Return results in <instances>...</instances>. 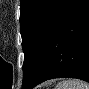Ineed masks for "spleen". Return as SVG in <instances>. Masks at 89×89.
<instances>
[{"label":"spleen","mask_w":89,"mask_h":89,"mask_svg":"<svg viewBox=\"0 0 89 89\" xmlns=\"http://www.w3.org/2000/svg\"><path fill=\"white\" fill-rule=\"evenodd\" d=\"M86 82L78 79H69L58 83L56 89H88Z\"/></svg>","instance_id":"spleen-1"}]
</instances>
